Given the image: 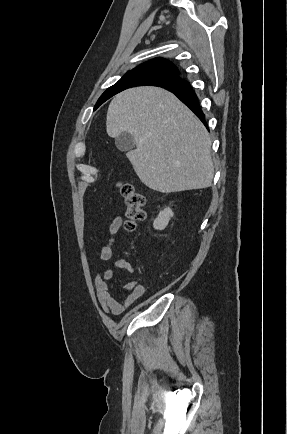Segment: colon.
Instances as JSON below:
<instances>
[{
  "label": "colon",
  "mask_w": 287,
  "mask_h": 434,
  "mask_svg": "<svg viewBox=\"0 0 287 434\" xmlns=\"http://www.w3.org/2000/svg\"><path fill=\"white\" fill-rule=\"evenodd\" d=\"M118 188L125 200V227L132 231L145 219V199L133 183L120 182Z\"/></svg>",
  "instance_id": "colon-1"
}]
</instances>
